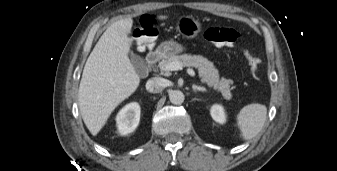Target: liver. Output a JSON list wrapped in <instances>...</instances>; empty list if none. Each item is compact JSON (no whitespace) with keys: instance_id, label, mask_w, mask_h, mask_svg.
<instances>
[{"instance_id":"6515ba94","label":"liver","mask_w":337,"mask_h":171,"mask_svg":"<svg viewBox=\"0 0 337 171\" xmlns=\"http://www.w3.org/2000/svg\"><path fill=\"white\" fill-rule=\"evenodd\" d=\"M157 18L163 20L167 16ZM132 25V18L110 25L84 66L78 104L82 119L93 136L103 128L113 110L139 86L140 77L128 57L132 45L128 34Z\"/></svg>"}]
</instances>
